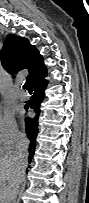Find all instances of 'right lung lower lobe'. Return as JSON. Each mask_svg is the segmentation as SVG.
Wrapping results in <instances>:
<instances>
[{
	"mask_svg": "<svg viewBox=\"0 0 89 203\" xmlns=\"http://www.w3.org/2000/svg\"><path fill=\"white\" fill-rule=\"evenodd\" d=\"M47 75V70L42 72L39 76H37L30 84L31 90L34 91V94L30 100L29 106L26 105V109L31 108L36 113L34 118H25V126H26V133L30 140L29 146V162H31L35 146H36V136L38 132V118L40 115V104L44 99V91L47 87V80H45V76Z\"/></svg>",
	"mask_w": 89,
	"mask_h": 203,
	"instance_id": "right-lung-lower-lobe-1",
	"label": "right lung lower lobe"
}]
</instances>
